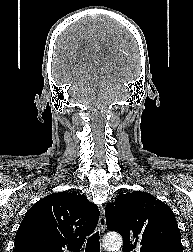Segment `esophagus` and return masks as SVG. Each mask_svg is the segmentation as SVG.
<instances>
[{"mask_svg": "<svg viewBox=\"0 0 193 252\" xmlns=\"http://www.w3.org/2000/svg\"><path fill=\"white\" fill-rule=\"evenodd\" d=\"M98 228H99V231L101 233H103L105 231V228H106L105 209H104L103 206L100 208Z\"/></svg>", "mask_w": 193, "mask_h": 252, "instance_id": "obj_1", "label": "esophagus"}]
</instances>
